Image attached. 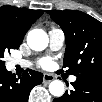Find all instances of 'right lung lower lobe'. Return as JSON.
<instances>
[{
  "label": "right lung lower lobe",
  "instance_id": "right-lung-lower-lobe-1",
  "mask_svg": "<svg viewBox=\"0 0 102 102\" xmlns=\"http://www.w3.org/2000/svg\"><path fill=\"white\" fill-rule=\"evenodd\" d=\"M43 74L25 70L16 76L6 68L0 69V99L3 102H27L31 89L42 83Z\"/></svg>",
  "mask_w": 102,
  "mask_h": 102
}]
</instances>
